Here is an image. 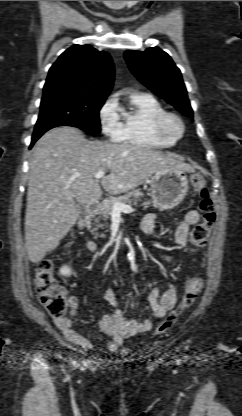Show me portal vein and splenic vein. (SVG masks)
<instances>
[{"label": "portal vein and splenic vein", "mask_w": 242, "mask_h": 416, "mask_svg": "<svg viewBox=\"0 0 242 416\" xmlns=\"http://www.w3.org/2000/svg\"><path fill=\"white\" fill-rule=\"evenodd\" d=\"M105 175V171H99L95 174L94 178L96 180H99L101 178H103ZM133 209L130 205L127 204H123L121 202H115L113 204V212L114 213H120V212H124V213H128L131 212Z\"/></svg>", "instance_id": "1"}]
</instances>
